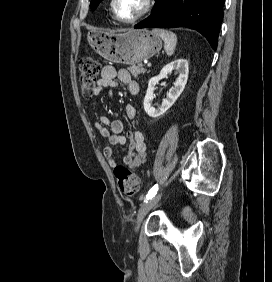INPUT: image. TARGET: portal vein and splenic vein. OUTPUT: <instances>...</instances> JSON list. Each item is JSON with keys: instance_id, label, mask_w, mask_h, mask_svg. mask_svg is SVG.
<instances>
[{"instance_id": "1", "label": "portal vein and splenic vein", "mask_w": 272, "mask_h": 282, "mask_svg": "<svg viewBox=\"0 0 272 282\" xmlns=\"http://www.w3.org/2000/svg\"><path fill=\"white\" fill-rule=\"evenodd\" d=\"M151 65H152L151 63H148V64H147L148 67H151Z\"/></svg>"}]
</instances>
